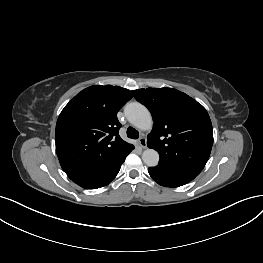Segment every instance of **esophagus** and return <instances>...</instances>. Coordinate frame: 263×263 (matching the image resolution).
I'll list each match as a JSON object with an SVG mask.
<instances>
[{
    "label": "esophagus",
    "mask_w": 263,
    "mask_h": 263,
    "mask_svg": "<svg viewBox=\"0 0 263 263\" xmlns=\"http://www.w3.org/2000/svg\"><path fill=\"white\" fill-rule=\"evenodd\" d=\"M138 145L142 149H145L147 147L146 139L144 137H140V139L138 140Z\"/></svg>",
    "instance_id": "1"
}]
</instances>
